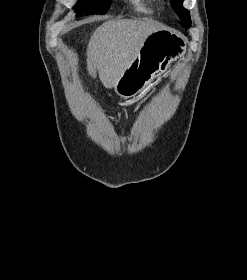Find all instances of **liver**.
<instances>
[{"label":"liver","instance_id":"6515ba94","mask_svg":"<svg viewBox=\"0 0 247 280\" xmlns=\"http://www.w3.org/2000/svg\"><path fill=\"white\" fill-rule=\"evenodd\" d=\"M163 27L152 21L123 19L107 21L90 38L87 70L95 78L98 71L105 88H113L136 58L143 42Z\"/></svg>","mask_w":247,"mask_h":280}]
</instances>
